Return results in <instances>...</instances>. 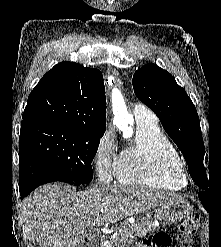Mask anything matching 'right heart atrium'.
Listing matches in <instances>:
<instances>
[{
	"mask_svg": "<svg viewBox=\"0 0 221 247\" xmlns=\"http://www.w3.org/2000/svg\"><path fill=\"white\" fill-rule=\"evenodd\" d=\"M97 176L101 182H110L116 173L117 158L112 132L107 130L99 139L94 153Z\"/></svg>",
	"mask_w": 221,
	"mask_h": 247,
	"instance_id": "1",
	"label": "right heart atrium"
}]
</instances>
